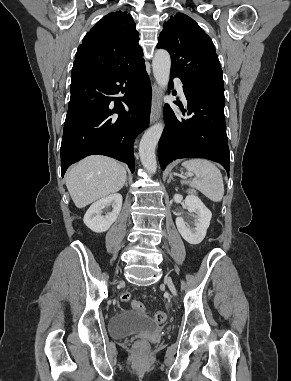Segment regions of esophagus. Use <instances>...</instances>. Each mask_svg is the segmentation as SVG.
<instances>
[{
    "label": "esophagus",
    "mask_w": 291,
    "mask_h": 381,
    "mask_svg": "<svg viewBox=\"0 0 291 381\" xmlns=\"http://www.w3.org/2000/svg\"><path fill=\"white\" fill-rule=\"evenodd\" d=\"M162 111V91L158 85L154 82L152 85V106L150 114V123H154L159 120Z\"/></svg>",
    "instance_id": "obj_1"
}]
</instances>
